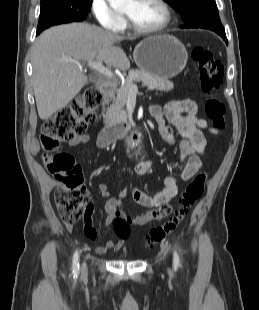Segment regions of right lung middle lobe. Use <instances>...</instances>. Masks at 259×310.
<instances>
[{
	"label": "right lung middle lobe",
	"instance_id": "right-lung-middle-lobe-1",
	"mask_svg": "<svg viewBox=\"0 0 259 310\" xmlns=\"http://www.w3.org/2000/svg\"><path fill=\"white\" fill-rule=\"evenodd\" d=\"M92 0H42L37 33L63 23L83 21Z\"/></svg>",
	"mask_w": 259,
	"mask_h": 310
}]
</instances>
